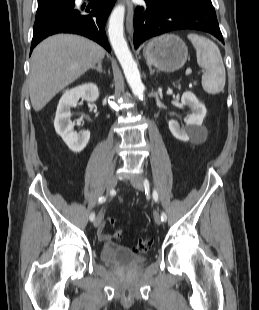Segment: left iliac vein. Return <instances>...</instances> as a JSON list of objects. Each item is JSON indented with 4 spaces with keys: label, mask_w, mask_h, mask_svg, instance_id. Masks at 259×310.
Masks as SVG:
<instances>
[{
    "label": "left iliac vein",
    "mask_w": 259,
    "mask_h": 310,
    "mask_svg": "<svg viewBox=\"0 0 259 310\" xmlns=\"http://www.w3.org/2000/svg\"><path fill=\"white\" fill-rule=\"evenodd\" d=\"M131 184L135 189L143 190L144 188V179L143 177H136L131 180ZM154 220L156 224L160 225L162 220L157 211H154Z\"/></svg>",
    "instance_id": "4c4485c4"
}]
</instances>
